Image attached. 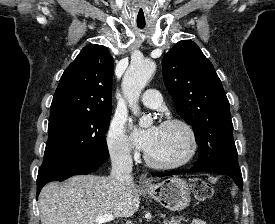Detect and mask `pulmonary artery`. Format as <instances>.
Wrapping results in <instances>:
<instances>
[{"instance_id": "pulmonary-artery-1", "label": "pulmonary artery", "mask_w": 275, "mask_h": 224, "mask_svg": "<svg viewBox=\"0 0 275 224\" xmlns=\"http://www.w3.org/2000/svg\"><path fill=\"white\" fill-rule=\"evenodd\" d=\"M141 102L148 108H156L161 104V94L156 89H148L142 96Z\"/></svg>"}]
</instances>
